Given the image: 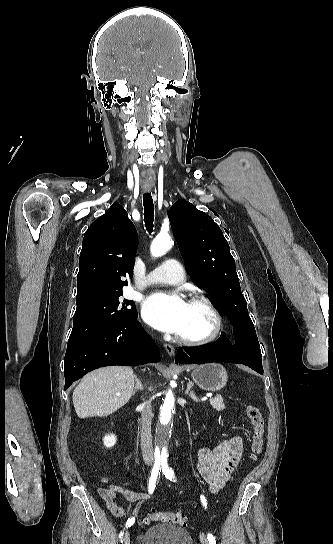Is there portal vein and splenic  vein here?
I'll use <instances>...</instances> for the list:
<instances>
[{"instance_id": "1", "label": "portal vein and splenic vein", "mask_w": 333, "mask_h": 544, "mask_svg": "<svg viewBox=\"0 0 333 544\" xmlns=\"http://www.w3.org/2000/svg\"><path fill=\"white\" fill-rule=\"evenodd\" d=\"M206 397H212V393L206 394Z\"/></svg>"}]
</instances>
